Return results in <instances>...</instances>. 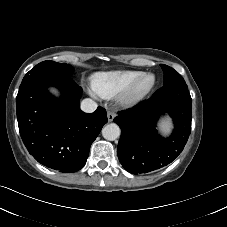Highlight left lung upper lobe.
I'll list each match as a JSON object with an SVG mask.
<instances>
[{
  "mask_svg": "<svg viewBox=\"0 0 227 227\" xmlns=\"http://www.w3.org/2000/svg\"><path fill=\"white\" fill-rule=\"evenodd\" d=\"M161 67L164 72V83L163 85H186L184 79L181 75L176 72L173 68L161 64Z\"/></svg>",
  "mask_w": 227,
  "mask_h": 227,
  "instance_id": "1",
  "label": "left lung upper lobe"
}]
</instances>
